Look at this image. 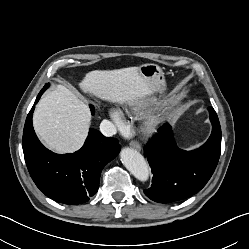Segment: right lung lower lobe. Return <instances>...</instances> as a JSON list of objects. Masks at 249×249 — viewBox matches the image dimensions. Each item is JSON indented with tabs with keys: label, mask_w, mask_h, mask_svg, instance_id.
<instances>
[{
	"label": "right lung lower lobe",
	"mask_w": 249,
	"mask_h": 249,
	"mask_svg": "<svg viewBox=\"0 0 249 249\" xmlns=\"http://www.w3.org/2000/svg\"><path fill=\"white\" fill-rule=\"evenodd\" d=\"M42 91L36 98L38 102ZM35 106L30 110L23 131V152L29 173L37 187L49 198L64 204L84 203L99 188L104 166L114 159L121 146L90 129L81 149L73 154H56L38 140L32 125Z\"/></svg>",
	"instance_id": "1"
}]
</instances>
